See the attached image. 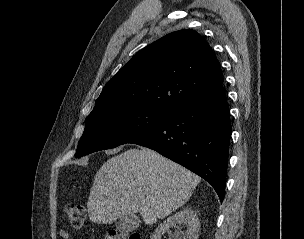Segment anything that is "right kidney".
Here are the masks:
<instances>
[{
	"label": "right kidney",
	"instance_id": "right-kidney-1",
	"mask_svg": "<svg viewBox=\"0 0 304 239\" xmlns=\"http://www.w3.org/2000/svg\"><path fill=\"white\" fill-rule=\"evenodd\" d=\"M183 225L186 232L181 230L172 235L173 239H198L200 222L196 213L191 208H184L163 221L154 231L151 239H161L162 235L174 225Z\"/></svg>",
	"mask_w": 304,
	"mask_h": 239
}]
</instances>
